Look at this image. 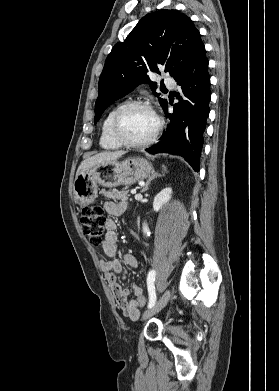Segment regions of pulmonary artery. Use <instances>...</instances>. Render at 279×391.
<instances>
[{
	"label": "pulmonary artery",
	"instance_id": "pulmonary-artery-1",
	"mask_svg": "<svg viewBox=\"0 0 279 391\" xmlns=\"http://www.w3.org/2000/svg\"><path fill=\"white\" fill-rule=\"evenodd\" d=\"M165 83L167 85H169V86H174L175 85V81L172 78H170V77H166L165 78Z\"/></svg>",
	"mask_w": 279,
	"mask_h": 391
}]
</instances>
